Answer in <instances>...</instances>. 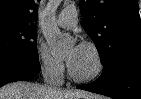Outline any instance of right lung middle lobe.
Segmentation results:
<instances>
[{"label":"right lung middle lobe","mask_w":141,"mask_h":99,"mask_svg":"<svg viewBox=\"0 0 141 99\" xmlns=\"http://www.w3.org/2000/svg\"><path fill=\"white\" fill-rule=\"evenodd\" d=\"M36 39L37 26L25 24L0 25V60L38 61Z\"/></svg>","instance_id":"dd1d6c3e"}]
</instances>
